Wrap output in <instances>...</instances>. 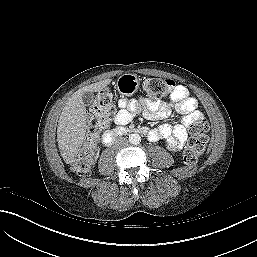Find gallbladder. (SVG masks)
<instances>
[{
	"label": "gallbladder",
	"mask_w": 257,
	"mask_h": 257,
	"mask_svg": "<svg viewBox=\"0 0 257 257\" xmlns=\"http://www.w3.org/2000/svg\"><path fill=\"white\" fill-rule=\"evenodd\" d=\"M93 98H94V95L92 92H85L82 95V100H83L85 106H90L93 103Z\"/></svg>",
	"instance_id": "bac80fb5"
}]
</instances>
